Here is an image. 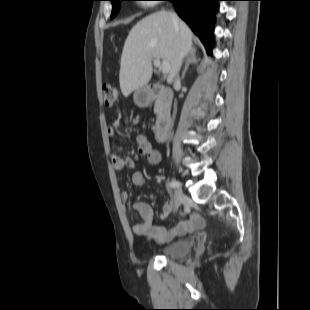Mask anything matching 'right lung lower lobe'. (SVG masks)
<instances>
[{
    "label": "right lung lower lobe",
    "mask_w": 310,
    "mask_h": 310,
    "mask_svg": "<svg viewBox=\"0 0 310 310\" xmlns=\"http://www.w3.org/2000/svg\"><path fill=\"white\" fill-rule=\"evenodd\" d=\"M172 1L177 14L203 42L207 53L212 54L214 16L221 0H166Z\"/></svg>",
    "instance_id": "98d812e1"
}]
</instances>
